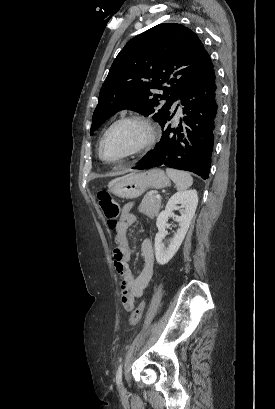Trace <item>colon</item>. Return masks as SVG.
I'll use <instances>...</instances> for the list:
<instances>
[{
	"label": "colon",
	"mask_w": 275,
	"mask_h": 409,
	"mask_svg": "<svg viewBox=\"0 0 275 409\" xmlns=\"http://www.w3.org/2000/svg\"><path fill=\"white\" fill-rule=\"evenodd\" d=\"M97 201L106 219L108 227L113 230L117 226L120 211L117 201L108 192L98 193ZM144 308L145 304L141 303L139 306L133 309L129 316L130 326H135L139 323L143 316Z\"/></svg>",
	"instance_id": "1"
}]
</instances>
